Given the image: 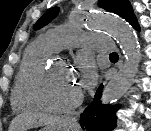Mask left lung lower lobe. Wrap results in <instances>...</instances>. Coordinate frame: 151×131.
I'll return each mask as SVG.
<instances>
[{
    "label": "left lung lower lobe",
    "mask_w": 151,
    "mask_h": 131,
    "mask_svg": "<svg viewBox=\"0 0 151 131\" xmlns=\"http://www.w3.org/2000/svg\"><path fill=\"white\" fill-rule=\"evenodd\" d=\"M133 27L139 30L136 18L130 22ZM103 85L98 88L93 101L80 115L82 129L91 131H112L116 125L115 113L119 106L110 109V105H102L99 101L102 94Z\"/></svg>",
    "instance_id": "1"
}]
</instances>
